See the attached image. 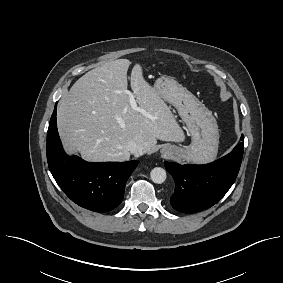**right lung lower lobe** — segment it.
<instances>
[{"label": "right lung lower lobe", "mask_w": 283, "mask_h": 283, "mask_svg": "<svg viewBox=\"0 0 283 283\" xmlns=\"http://www.w3.org/2000/svg\"><path fill=\"white\" fill-rule=\"evenodd\" d=\"M56 106L47 132V161L51 174L64 193L79 206L107 212L123 200L125 184L139 161L89 163L68 156L57 131Z\"/></svg>", "instance_id": "right-lung-lower-lobe-1"}]
</instances>
